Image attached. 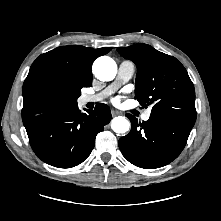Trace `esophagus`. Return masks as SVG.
Masks as SVG:
<instances>
[{
  "instance_id": "esophagus-1",
  "label": "esophagus",
  "mask_w": 221,
  "mask_h": 221,
  "mask_svg": "<svg viewBox=\"0 0 221 221\" xmlns=\"http://www.w3.org/2000/svg\"><path fill=\"white\" fill-rule=\"evenodd\" d=\"M111 114H112V116H116V115H119L120 112L113 109V110H111Z\"/></svg>"
}]
</instances>
